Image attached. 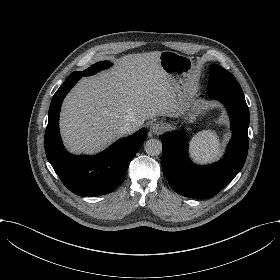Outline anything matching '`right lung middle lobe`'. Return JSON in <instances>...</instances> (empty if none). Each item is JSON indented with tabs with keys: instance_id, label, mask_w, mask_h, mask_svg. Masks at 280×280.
I'll list each match as a JSON object with an SVG mask.
<instances>
[{
	"instance_id": "1",
	"label": "right lung middle lobe",
	"mask_w": 280,
	"mask_h": 280,
	"mask_svg": "<svg viewBox=\"0 0 280 280\" xmlns=\"http://www.w3.org/2000/svg\"><path fill=\"white\" fill-rule=\"evenodd\" d=\"M109 66H111V63L108 61H102L92 65L90 68L86 69L85 71H81L80 73L83 76H89Z\"/></svg>"
}]
</instances>
